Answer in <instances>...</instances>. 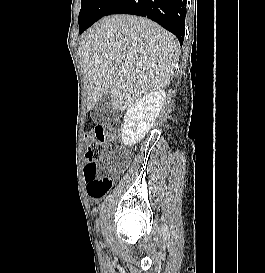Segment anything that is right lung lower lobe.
I'll return each mask as SVG.
<instances>
[{
  "instance_id": "1",
  "label": "right lung lower lobe",
  "mask_w": 265,
  "mask_h": 273,
  "mask_svg": "<svg viewBox=\"0 0 265 273\" xmlns=\"http://www.w3.org/2000/svg\"><path fill=\"white\" fill-rule=\"evenodd\" d=\"M187 0H115L105 16L132 14L147 17L184 40Z\"/></svg>"
}]
</instances>
